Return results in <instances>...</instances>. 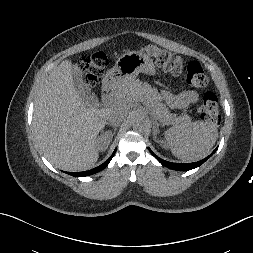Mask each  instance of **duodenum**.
<instances>
[{
	"label": "duodenum",
	"instance_id": "1",
	"mask_svg": "<svg viewBox=\"0 0 253 253\" xmlns=\"http://www.w3.org/2000/svg\"><path fill=\"white\" fill-rule=\"evenodd\" d=\"M114 96V80L113 78L107 79L102 88V101L105 105H110Z\"/></svg>",
	"mask_w": 253,
	"mask_h": 253
}]
</instances>
